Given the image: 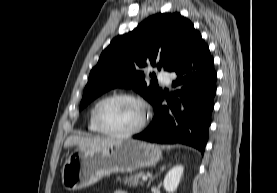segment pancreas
Segmentation results:
<instances>
[{"label": "pancreas", "mask_w": 277, "mask_h": 193, "mask_svg": "<svg viewBox=\"0 0 277 193\" xmlns=\"http://www.w3.org/2000/svg\"><path fill=\"white\" fill-rule=\"evenodd\" d=\"M144 175V172H138L130 176H125L124 183L129 184L130 186H138L139 184L143 185L142 177ZM118 180H120V177L118 178Z\"/></svg>", "instance_id": "obj_1"}]
</instances>
